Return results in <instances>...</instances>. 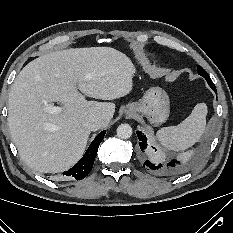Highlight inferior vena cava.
<instances>
[{
    "label": "inferior vena cava",
    "mask_w": 233,
    "mask_h": 233,
    "mask_svg": "<svg viewBox=\"0 0 233 233\" xmlns=\"http://www.w3.org/2000/svg\"><path fill=\"white\" fill-rule=\"evenodd\" d=\"M102 124L103 120L96 115H89L82 122L83 127L89 131H97L101 128Z\"/></svg>",
    "instance_id": "1"
}]
</instances>
